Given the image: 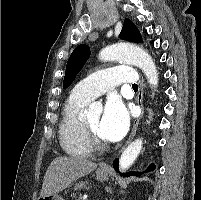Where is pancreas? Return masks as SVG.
I'll list each match as a JSON object with an SVG mask.
<instances>
[{"instance_id":"1","label":"pancreas","mask_w":201,"mask_h":200,"mask_svg":"<svg viewBox=\"0 0 201 200\" xmlns=\"http://www.w3.org/2000/svg\"><path fill=\"white\" fill-rule=\"evenodd\" d=\"M77 200H84V198L83 197H80L79 199H77Z\"/></svg>"}]
</instances>
